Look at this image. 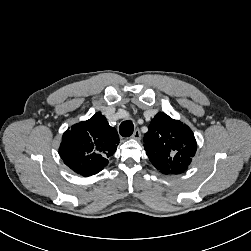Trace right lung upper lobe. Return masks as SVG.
<instances>
[{
    "instance_id": "cb5924a9",
    "label": "right lung upper lobe",
    "mask_w": 251,
    "mask_h": 251,
    "mask_svg": "<svg viewBox=\"0 0 251 251\" xmlns=\"http://www.w3.org/2000/svg\"><path fill=\"white\" fill-rule=\"evenodd\" d=\"M119 144L115 128L97 112L87 121L68 129L62 137L59 154L64 163L82 176L100 172L107 164Z\"/></svg>"
}]
</instances>
